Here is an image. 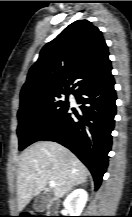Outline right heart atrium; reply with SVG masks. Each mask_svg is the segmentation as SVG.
Here are the masks:
<instances>
[{"instance_id":"obj_1","label":"right heart atrium","mask_w":132,"mask_h":217,"mask_svg":"<svg viewBox=\"0 0 132 217\" xmlns=\"http://www.w3.org/2000/svg\"><path fill=\"white\" fill-rule=\"evenodd\" d=\"M42 115H43V116H45V113H44V112H42Z\"/></svg>"}]
</instances>
